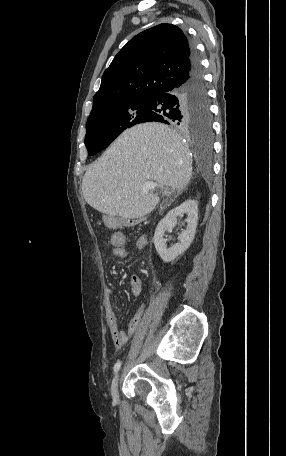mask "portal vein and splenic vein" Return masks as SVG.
<instances>
[{"label": "portal vein and splenic vein", "instance_id": "18ae733b", "mask_svg": "<svg viewBox=\"0 0 286 456\" xmlns=\"http://www.w3.org/2000/svg\"><path fill=\"white\" fill-rule=\"evenodd\" d=\"M157 187L163 188L162 185H160V184H158V183H156V182L147 181V182H145V183L143 184V186H142V191H143L144 193H146V192H148V191L154 190V189L157 188Z\"/></svg>", "mask_w": 286, "mask_h": 456}]
</instances>
